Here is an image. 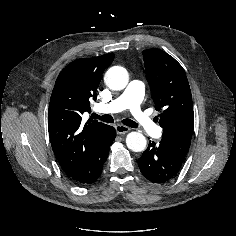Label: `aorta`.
<instances>
[{
	"label": "aorta",
	"mask_w": 236,
	"mask_h": 236,
	"mask_svg": "<svg viewBox=\"0 0 236 236\" xmlns=\"http://www.w3.org/2000/svg\"><path fill=\"white\" fill-rule=\"evenodd\" d=\"M104 81L112 90L124 89L129 81L128 72L120 66L111 67L105 74ZM127 147L134 152L144 151L147 145L145 136L140 132H130L126 137Z\"/></svg>",
	"instance_id": "1"
}]
</instances>
